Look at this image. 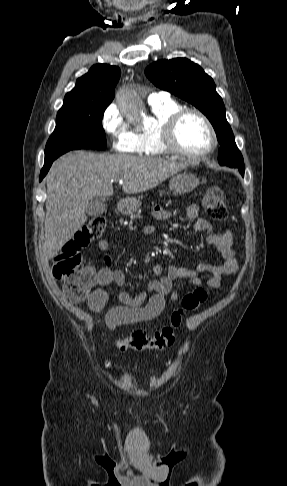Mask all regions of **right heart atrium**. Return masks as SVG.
I'll return each instance as SVG.
<instances>
[{
	"label": "right heart atrium",
	"mask_w": 287,
	"mask_h": 486,
	"mask_svg": "<svg viewBox=\"0 0 287 486\" xmlns=\"http://www.w3.org/2000/svg\"><path fill=\"white\" fill-rule=\"evenodd\" d=\"M101 126L110 137L113 150L117 152H135L137 147L135 132L130 129L116 105L111 104L104 110L101 117Z\"/></svg>",
	"instance_id": "d8ad5b80"
}]
</instances>
